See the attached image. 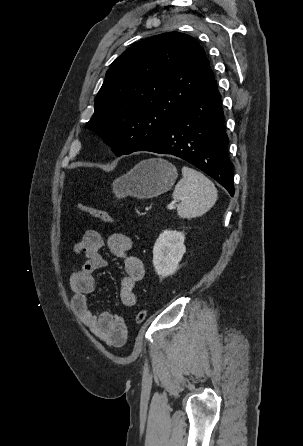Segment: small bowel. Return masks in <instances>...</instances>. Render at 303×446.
Segmentation results:
<instances>
[{
    "mask_svg": "<svg viewBox=\"0 0 303 446\" xmlns=\"http://www.w3.org/2000/svg\"><path fill=\"white\" fill-rule=\"evenodd\" d=\"M104 245L102 235L94 229H88L73 246L75 259L69 276L73 292L71 302L82 323L95 337L111 347L120 348L126 344L128 336L124 319L109 311L94 313L89 303V297L98 286L94 272L109 264L102 253ZM107 247L112 255L124 261L125 274L121 280L120 301L124 307H132L137 300L135 287L145 276V264L140 258L129 255L132 241L126 234H111L107 239ZM81 258L84 261L79 265Z\"/></svg>",
    "mask_w": 303,
    "mask_h": 446,
    "instance_id": "1",
    "label": "small bowel"
}]
</instances>
